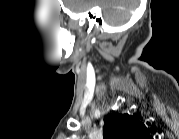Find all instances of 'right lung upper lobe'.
Returning a JSON list of instances; mask_svg holds the SVG:
<instances>
[{
  "instance_id": "right-lung-upper-lobe-1",
  "label": "right lung upper lobe",
  "mask_w": 179,
  "mask_h": 139,
  "mask_svg": "<svg viewBox=\"0 0 179 139\" xmlns=\"http://www.w3.org/2000/svg\"><path fill=\"white\" fill-rule=\"evenodd\" d=\"M104 139H148L146 126L128 114H109L104 118Z\"/></svg>"
}]
</instances>
